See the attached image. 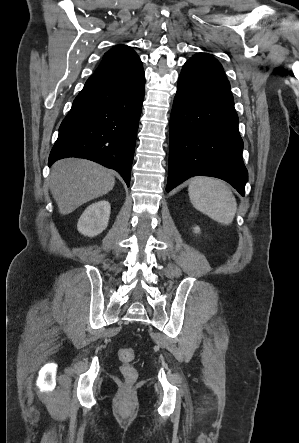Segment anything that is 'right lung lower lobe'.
<instances>
[{"label": "right lung lower lobe", "instance_id": "right-lung-lower-lobe-1", "mask_svg": "<svg viewBox=\"0 0 299 443\" xmlns=\"http://www.w3.org/2000/svg\"><path fill=\"white\" fill-rule=\"evenodd\" d=\"M144 90L143 68L89 77L60 125L48 165L86 158L116 170L129 186Z\"/></svg>", "mask_w": 299, "mask_h": 443}]
</instances>
